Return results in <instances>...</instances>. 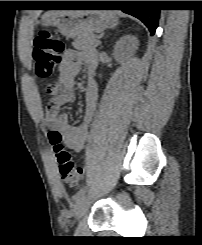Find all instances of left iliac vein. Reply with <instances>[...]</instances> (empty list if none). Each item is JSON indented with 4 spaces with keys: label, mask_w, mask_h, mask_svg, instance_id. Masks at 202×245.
I'll use <instances>...</instances> for the list:
<instances>
[{
    "label": "left iliac vein",
    "mask_w": 202,
    "mask_h": 245,
    "mask_svg": "<svg viewBox=\"0 0 202 245\" xmlns=\"http://www.w3.org/2000/svg\"><path fill=\"white\" fill-rule=\"evenodd\" d=\"M90 205L89 198L86 195H82L74 206V216L76 219H80L87 212Z\"/></svg>",
    "instance_id": "obj_1"
}]
</instances>
